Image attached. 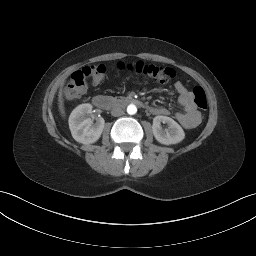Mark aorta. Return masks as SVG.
<instances>
[{
  "mask_svg": "<svg viewBox=\"0 0 256 256\" xmlns=\"http://www.w3.org/2000/svg\"><path fill=\"white\" fill-rule=\"evenodd\" d=\"M137 112V107L134 104H130L127 107V113L130 115H134Z\"/></svg>",
  "mask_w": 256,
  "mask_h": 256,
  "instance_id": "obj_1",
  "label": "aorta"
}]
</instances>
